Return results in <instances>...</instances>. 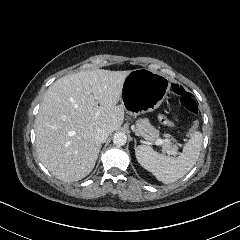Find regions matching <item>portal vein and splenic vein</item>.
<instances>
[{
	"label": "portal vein and splenic vein",
	"mask_w": 240,
	"mask_h": 240,
	"mask_svg": "<svg viewBox=\"0 0 240 240\" xmlns=\"http://www.w3.org/2000/svg\"><path fill=\"white\" fill-rule=\"evenodd\" d=\"M163 143H164V140H162V139H157V140L154 142L155 145H162ZM150 144H153V143H150Z\"/></svg>",
	"instance_id": "18ae733b"
}]
</instances>
